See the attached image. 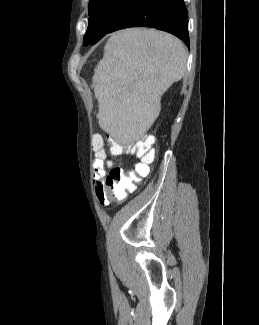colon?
<instances>
[{"instance_id": "colon-1", "label": "colon", "mask_w": 259, "mask_h": 325, "mask_svg": "<svg viewBox=\"0 0 259 325\" xmlns=\"http://www.w3.org/2000/svg\"><path fill=\"white\" fill-rule=\"evenodd\" d=\"M111 152L115 155L122 153L135 154L141 162L135 167L125 171L114 167L100 183L98 195L106 202H120L129 192L136 190L137 186L149 173V165L155 158L154 138L146 136L141 140L123 144L110 139ZM92 149L96 155H105L104 140L101 136H95L92 140Z\"/></svg>"}]
</instances>
